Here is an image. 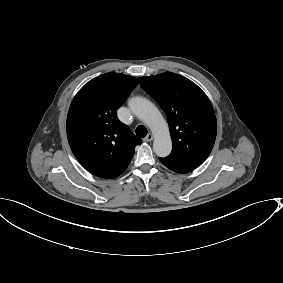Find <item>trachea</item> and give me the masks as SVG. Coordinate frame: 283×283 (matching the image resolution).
I'll return each mask as SVG.
<instances>
[{"label": "trachea", "mask_w": 283, "mask_h": 283, "mask_svg": "<svg viewBox=\"0 0 283 283\" xmlns=\"http://www.w3.org/2000/svg\"><path fill=\"white\" fill-rule=\"evenodd\" d=\"M135 132H136V135L138 137H141V138L145 137L147 135V133H148L147 129H146V127L144 125L137 126Z\"/></svg>", "instance_id": "trachea-1"}]
</instances>
